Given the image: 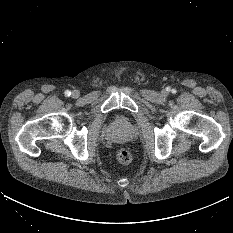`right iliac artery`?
<instances>
[{
	"mask_svg": "<svg viewBox=\"0 0 233 233\" xmlns=\"http://www.w3.org/2000/svg\"><path fill=\"white\" fill-rule=\"evenodd\" d=\"M64 94L66 97H69L71 95V92L69 90H66Z\"/></svg>",
	"mask_w": 233,
	"mask_h": 233,
	"instance_id": "1",
	"label": "right iliac artery"
}]
</instances>
